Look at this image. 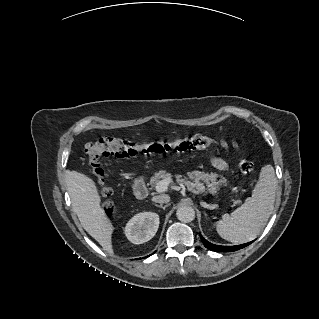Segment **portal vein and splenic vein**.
<instances>
[{
  "mask_svg": "<svg viewBox=\"0 0 319 319\" xmlns=\"http://www.w3.org/2000/svg\"><path fill=\"white\" fill-rule=\"evenodd\" d=\"M172 182L171 178H165L163 180H160L156 185H155V191L158 193L165 192L168 189L169 184Z\"/></svg>",
  "mask_w": 319,
  "mask_h": 319,
  "instance_id": "obj_1",
  "label": "portal vein and splenic vein"
}]
</instances>
